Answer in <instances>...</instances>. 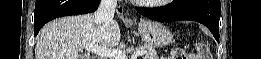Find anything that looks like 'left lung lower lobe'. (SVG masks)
<instances>
[{
  "label": "left lung lower lobe",
  "mask_w": 261,
  "mask_h": 59,
  "mask_svg": "<svg viewBox=\"0 0 261 59\" xmlns=\"http://www.w3.org/2000/svg\"><path fill=\"white\" fill-rule=\"evenodd\" d=\"M139 14L150 19L171 22L193 20L208 27L219 42L220 0H174L163 9L137 7Z\"/></svg>",
  "instance_id": "1"
}]
</instances>
